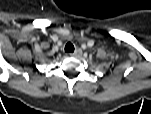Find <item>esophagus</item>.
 I'll use <instances>...</instances> for the list:
<instances>
[{"label": "esophagus", "mask_w": 151, "mask_h": 114, "mask_svg": "<svg viewBox=\"0 0 151 114\" xmlns=\"http://www.w3.org/2000/svg\"><path fill=\"white\" fill-rule=\"evenodd\" d=\"M74 57H78L82 55V50L81 49H76L74 53L71 54Z\"/></svg>", "instance_id": "obj_1"}]
</instances>
